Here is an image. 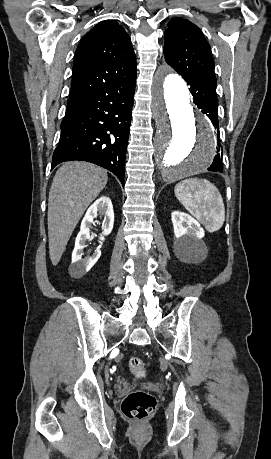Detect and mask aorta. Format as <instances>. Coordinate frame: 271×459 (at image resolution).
<instances>
[{
	"label": "aorta",
	"mask_w": 271,
	"mask_h": 459,
	"mask_svg": "<svg viewBox=\"0 0 271 459\" xmlns=\"http://www.w3.org/2000/svg\"><path fill=\"white\" fill-rule=\"evenodd\" d=\"M152 112L157 126L154 160L163 178L175 181L205 171L216 153L214 131L193 110L183 78L167 65L153 79Z\"/></svg>",
	"instance_id": "aorta-1"
}]
</instances>
